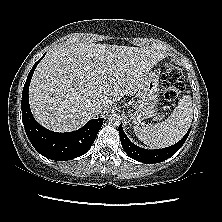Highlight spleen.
I'll use <instances>...</instances> for the list:
<instances>
[{"instance_id": "3e777b00", "label": "spleen", "mask_w": 222, "mask_h": 222, "mask_svg": "<svg viewBox=\"0 0 222 222\" xmlns=\"http://www.w3.org/2000/svg\"><path fill=\"white\" fill-rule=\"evenodd\" d=\"M193 107L190 95L183 96L173 113L161 123L135 126L136 136L151 148H164L178 142L192 121Z\"/></svg>"}]
</instances>
